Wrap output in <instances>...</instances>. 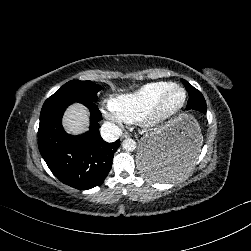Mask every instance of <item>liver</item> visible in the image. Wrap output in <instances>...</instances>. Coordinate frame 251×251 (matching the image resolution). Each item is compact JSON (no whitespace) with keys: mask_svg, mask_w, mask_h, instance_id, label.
Here are the masks:
<instances>
[{"mask_svg":"<svg viewBox=\"0 0 251 251\" xmlns=\"http://www.w3.org/2000/svg\"><path fill=\"white\" fill-rule=\"evenodd\" d=\"M90 123L88 108L79 101L69 104L61 116L64 132L72 137L86 134L90 129Z\"/></svg>","mask_w":251,"mask_h":251,"instance_id":"liver-1","label":"liver"}]
</instances>
